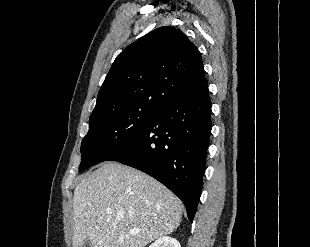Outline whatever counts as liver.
Wrapping results in <instances>:
<instances>
[{
  "label": "liver",
  "instance_id": "6515ba94",
  "mask_svg": "<svg viewBox=\"0 0 310 247\" xmlns=\"http://www.w3.org/2000/svg\"><path fill=\"white\" fill-rule=\"evenodd\" d=\"M182 209L181 201L149 175L105 162L74 190L72 245L81 247L89 238L93 247H145L177 229Z\"/></svg>",
  "mask_w": 310,
  "mask_h": 247
}]
</instances>
